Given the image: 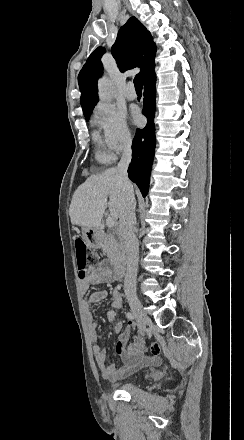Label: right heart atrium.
<instances>
[{
	"label": "right heart atrium",
	"mask_w": 244,
	"mask_h": 440,
	"mask_svg": "<svg viewBox=\"0 0 244 440\" xmlns=\"http://www.w3.org/2000/svg\"><path fill=\"white\" fill-rule=\"evenodd\" d=\"M92 122L102 132L105 158H113L131 144L132 135L125 114L110 103L100 101L96 104L92 113Z\"/></svg>",
	"instance_id": "d8ad5b80"
}]
</instances>
